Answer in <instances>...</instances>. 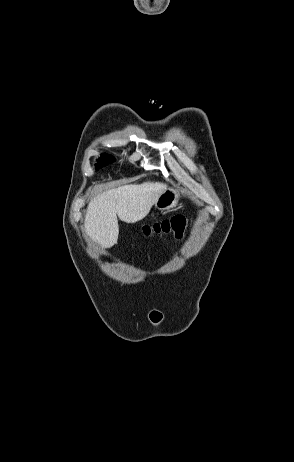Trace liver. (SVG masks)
<instances>
[{"mask_svg":"<svg viewBox=\"0 0 294 462\" xmlns=\"http://www.w3.org/2000/svg\"><path fill=\"white\" fill-rule=\"evenodd\" d=\"M166 188L164 183L145 182L97 195L88 204L84 232L102 248L112 247L118 240L117 217L126 223L144 219Z\"/></svg>","mask_w":294,"mask_h":462,"instance_id":"obj_1","label":"liver"}]
</instances>
